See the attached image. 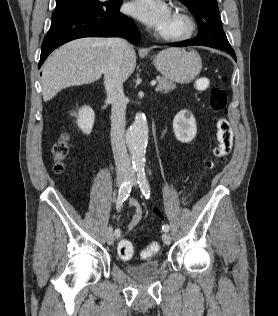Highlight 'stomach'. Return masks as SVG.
Listing matches in <instances>:
<instances>
[{
    "label": "stomach",
    "mask_w": 278,
    "mask_h": 316,
    "mask_svg": "<svg viewBox=\"0 0 278 316\" xmlns=\"http://www.w3.org/2000/svg\"><path fill=\"white\" fill-rule=\"evenodd\" d=\"M153 62L166 79L181 84L193 81L202 68L200 55L187 49H165L154 57Z\"/></svg>",
    "instance_id": "0dacf381"
}]
</instances>
